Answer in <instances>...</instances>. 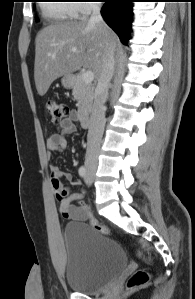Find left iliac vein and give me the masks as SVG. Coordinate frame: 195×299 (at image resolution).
<instances>
[{
	"instance_id": "1",
	"label": "left iliac vein",
	"mask_w": 195,
	"mask_h": 299,
	"mask_svg": "<svg viewBox=\"0 0 195 299\" xmlns=\"http://www.w3.org/2000/svg\"><path fill=\"white\" fill-rule=\"evenodd\" d=\"M85 183L87 185H90L92 183V179L90 178L89 174L87 175V177L85 178Z\"/></svg>"
}]
</instances>
